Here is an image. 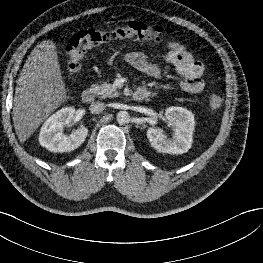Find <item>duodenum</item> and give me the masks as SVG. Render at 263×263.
I'll return each instance as SVG.
<instances>
[{"mask_svg": "<svg viewBox=\"0 0 263 263\" xmlns=\"http://www.w3.org/2000/svg\"><path fill=\"white\" fill-rule=\"evenodd\" d=\"M150 96V92L147 91L146 89H137L134 93H133V99L135 101H143L145 99H147ZM82 100L85 103H90L94 100L95 98V90L93 88H86L83 90L82 92Z\"/></svg>", "mask_w": 263, "mask_h": 263, "instance_id": "obj_1", "label": "duodenum"}]
</instances>
